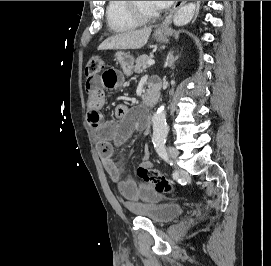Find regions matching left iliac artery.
<instances>
[{
  "label": "left iliac artery",
  "mask_w": 271,
  "mask_h": 266,
  "mask_svg": "<svg viewBox=\"0 0 271 266\" xmlns=\"http://www.w3.org/2000/svg\"><path fill=\"white\" fill-rule=\"evenodd\" d=\"M166 140L162 139L157 141L154 146L156 148L157 153L159 154V156L161 158H163L165 161H168V156H167V152H166V146H165ZM170 165H172V163H170Z\"/></svg>",
  "instance_id": "1"
}]
</instances>
